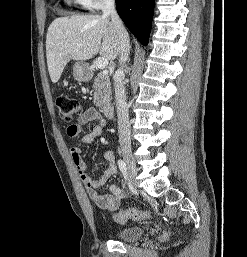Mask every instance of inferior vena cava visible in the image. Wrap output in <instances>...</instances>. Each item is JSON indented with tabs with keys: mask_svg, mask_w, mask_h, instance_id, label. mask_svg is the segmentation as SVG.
Segmentation results:
<instances>
[{
	"mask_svg": "<svg viewBox=\"0 0 247 257\" xmlns=\"http://www.w3.org/2000/svg\"><path fill=\"white\" fill-rule=\"evenodd\" d=\"M101 9L104 16H111L112 24L114 25L119 38V63L121 67L115 72L114 75L115 100L118 118V133L120 146L130 148L131 130L125 88L123 85V79L125 78L123 64L129 58L130 40L128 33L124 27V24L116 12L115 0H103Z\"/></svg>",
	"mask_w": 247,
	"mask_h": 257,
	"instance_id": "602c4592",
	"label": "inferior vena cava"
}]
</instances>
